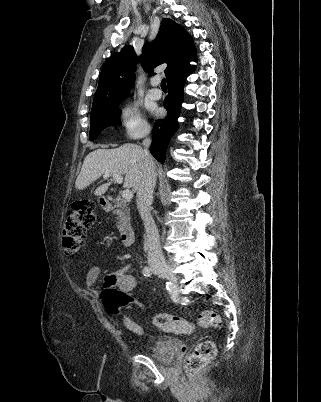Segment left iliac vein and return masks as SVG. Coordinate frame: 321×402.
Instances as JSON below:
<instances>
[{"label": "left iliac vein", "mask_w": 321, "mask_h": 402, "mask_svg": "<svg viewBox=\"0 0 321 402\" xmlns=\"http://www.w3.org/2000/svg\"><path fill=\"white\" fill-rule=\"evenodd\" d=\"M155 273H157L160 277H164L162 274H160V273H158V272H155Z\"/></svg>", "instance_id": "4c4485c4"}]
</instances>
